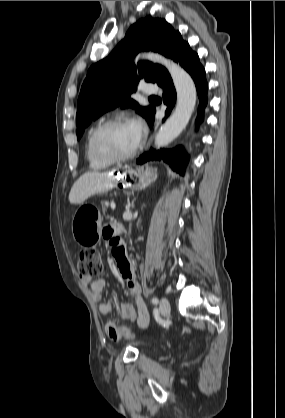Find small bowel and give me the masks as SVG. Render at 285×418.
Here are the masks:
<instances>
[{
	"label": "small bowel",
	"instance_id": "1",
	"mask_svg": "<svg viewBox=\"0 0 285 418\" xmlns=\"http://www.w3.org/2000/svg\"><path fill=\"white\" fill-rule=\"evenodd\" d=\"M104 239L107 245L113 250L119 242H122L119 237V231L117 228L111 227L106 229ZM120 275L125 279L128 294L134 299L135 305L131 303H122L119 306L118 313L122 319L136 321L140 326L146 327L149 324L150 316L148 309L141 297V289L136 278L135 262L127 258L124 261H117ZM84 283L90 282L89 279L83 278L81 280ZM106 285L104 279H98L91 283V295L95 301L102 300L103 291ZM99 312L103 316H109L113 313V306L110 302L101 303L99 306ZM108 337L111 341H119L123 338L118 333H108Z\"/></svg>",
	"mask_w": 285,
	"mask_h": 418
}]
</instances>
